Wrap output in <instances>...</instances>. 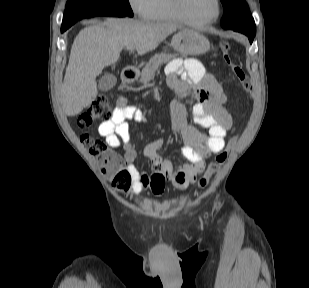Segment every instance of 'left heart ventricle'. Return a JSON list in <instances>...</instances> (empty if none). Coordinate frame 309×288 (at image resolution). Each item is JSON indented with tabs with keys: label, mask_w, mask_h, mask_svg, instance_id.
Wrapping results in <instances>:
<instances>
[{
	"label": "left heart ventricle",
	"mask_w": 309,
	"mask_h": 288,
	"mask_svg": "<svg viewBox=\"0 0 309 288\" xmlns=\"http://www.w3.org/2000/svg\"><path fill=\"white\" fill-rule=\"evenodd\" d=\"M183 10L193 21H204L212 18L216 12L215 0H183Z\"/></svg>",
	"instance_id": "1"
}]
</instances>
